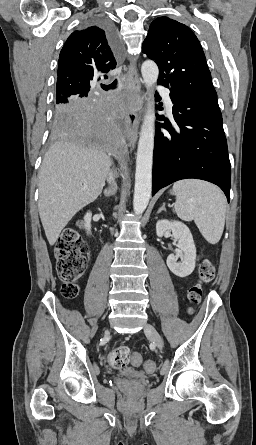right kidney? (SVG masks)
Masks as SVG:
<instances>
[{
	"mask_svg": "<svg viewBox=\"0 0 256 445\" xmlns=\"http://www.w3.org/2000/svg\"><path fill=\"white\" fill-rule=\"evenodd\" d=\"M91 219H92V214L91 212L87 213L84 216V220H85V228L87 230V234H90L91 232Z\"/></svg>",
	"mask_w": 256,
	"mask_h": 445,
	"instance_id": "ca27d5eb",
	"label": "right kidney"
}]
</instances>
